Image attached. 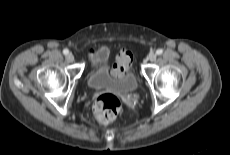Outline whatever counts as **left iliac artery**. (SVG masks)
<instances>
[{
    "label": "left iliac artery",
    "mask_w": 230,
    "mask_h": 155,
    "mask_svg": "<svg viewBox=\"0 0 230 155\" xmlns=\"http://www.w3.org/2000/svg\"><path fill=\"white\" fill-rule=\"evenodd\" d=\"M163 53V50L162 49H158L157 51H156V54H158V55H160V54H162Z\"/></svg>",
    "instance_id": "left-iliac-artery-1"
}]
</instances>
